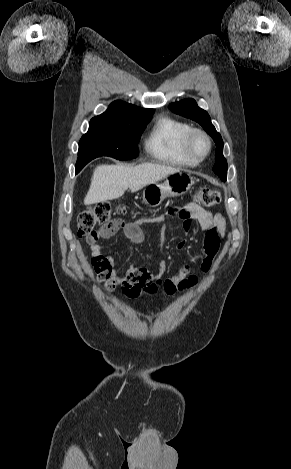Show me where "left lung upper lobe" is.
Returning a JSON list of instances; mask_svg holds the SVG:
<instances>
[{
  "label": "left lung upper lobe",
  "instance_id": "1",
  "mask_svg": "<svg viewBox=\"0 0 291 469\" xmlns=\"http://www.w3.org/2000/svg\"><path fill=\"white\" fill-rule=\"evenodd\" d=\"M170 109L176 114L190 118L198 122L203 129L213 138L216 144V162L213 171L223 180L227 177V161L223 156V141L221 135L216 131L211 123L209 114L198 107L194 99H184L179 102L171 103Z\"/></svg>",
  "mask_w": 291,
  "mask_h": 469
}]
</instances>
